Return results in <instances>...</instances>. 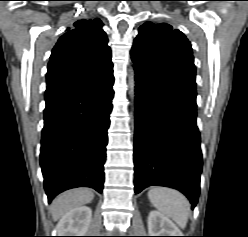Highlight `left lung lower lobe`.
Listing matches in <instances>:
<instances>
[{
  "instance_id": "1",
  "label": "left lung lower lobe",
  "mask_w": 248,
  "mask_h": 237,
  "mask_svg": "<svg viewBox=\"0 0 248 237\" xmlns=\"http://www.w3.org/2000/svg\"><path fill=\"white\" fill-rule=\"evenodd\" d=\"M135 72V193L151 185L175 188L194 208L202 171L196 90Z\"/></svg>"
}]
</instances>
